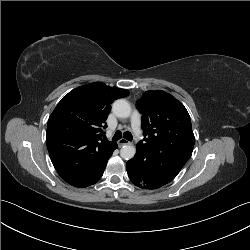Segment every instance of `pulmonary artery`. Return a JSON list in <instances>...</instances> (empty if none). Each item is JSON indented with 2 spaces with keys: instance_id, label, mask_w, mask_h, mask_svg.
I'll use <instances>...</instances> for the list:
<instances>
[{
  "instance_id": "e3ab8cb5",
  "label": "pulmonary artery",
  "mask_w": 250,
  "mask_h": 250,
  "mask_svg": "<svg viewBox=\"0 0 250 250\" xmlns=\"http://www.w3.org/2000/svg\"><path fill=\"white\" fill-rule=\"evenodd\" d=\"M131 124L132 128L136 134L137 137H142V131H141V119H140V113L137 109H134L131 115Z\"/></svg>"
}]
</instances>
